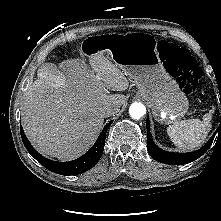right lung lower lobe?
I'll list each match as a JSON object with an SVG mask.
<instances>
[{
  "instance_id": "obj_1",
  "label": "right lung lower lobe",
  "mask_w": 221,
  "mask_h": 221,
  "mask_svg": "<svg viewBox=\"0 0 221 221\" xmlns=\"http://www.w3.org/2000/svg\"><path fill=\"white\" fill-rule=\"evenodd\" d=\"M111 123L112 121L106 124L96 143L88 152L70 162H56L43 157L32 147L24 134L22 126H20V133L27 151L45 168L61 175H77L86 172L99 161L104 150L106 132Z\"/></svg>"
}]
</instances>
